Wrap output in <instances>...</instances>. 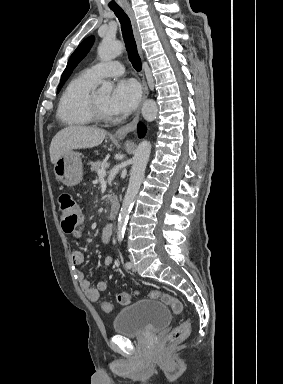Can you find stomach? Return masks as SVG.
<instances>
[{
    "instance_id": "0dacf381",
    "label": "stomach",
    "mask_w": 283,
    "mask_h": 384,
    "mask_svg": "<svg viewBox=\"0 0 283 384\" xmlns=\"http://www.w3.org/2000/svg\"><path fill=\"white\" fill-rule=\"evenodd\" d=\"M124 140V138H118ZM54 174L63 186H77L83 180V164L79 152H67L54 164Z\"/></svg>"
}]
</instances>
